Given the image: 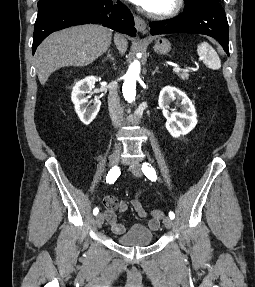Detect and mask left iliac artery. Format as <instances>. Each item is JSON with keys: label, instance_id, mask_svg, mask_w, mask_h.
I'll list each match as a JSON object with an SVG mask.
<instances>
[{"label": "left iliac artery", "instance_id": "left-iliac-artery-1", "mask_svg": "<svg viewBox=\"0 0 255 287\" xmlns=\"http://www.w3.org/2000/svg\"><path fill=\"white\" fill-rule=\"evenodd\" d=\"M142 172L151 181H156V179H157L156 172H155L154 168L149 163L145 162V163L142 164ZM169 217L171 219H174L175 218V214L172 211H170L169 212Z\"/></svg>", "mask_w": 255, "mask_h": 287}]
</instances>
